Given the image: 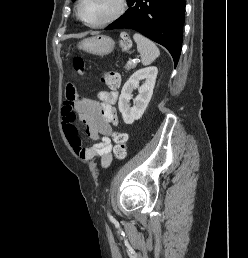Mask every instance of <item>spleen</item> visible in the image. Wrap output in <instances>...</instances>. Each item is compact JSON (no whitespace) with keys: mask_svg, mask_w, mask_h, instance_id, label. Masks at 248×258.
I'll use <instances>...</instances> for the list:
<instances>
[{"mask_svg":"<svg viewBox=\"0 0 248 258\" xmlns=\"http://www.w3.org/2000/svg\"><path fill=\"white\" fill-rule=\"evenodd\" d=\"M133 39L137 44L143 65H149L159 57L160 51L154 42L139 33H135Z\"/></svg>","mask_w":248,"mask_h":258,"instance_id":"1","label":"spleen"}]
</instances>
